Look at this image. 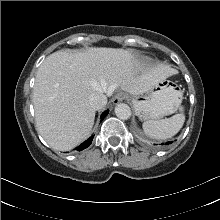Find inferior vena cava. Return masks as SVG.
Masks as SVG:
<instances>
[{
	"label": "inferior vena cava",
	"mask_w": 220,
	"mask_h": 220,
	"mask_svg": "<svg viewBox=\"0 0 220 220\" xmlns=\"http://www.w3.org/2000/svg\"><path fill=\"white\" fill-rule=\"evenodd\" d=\"M89 104L95 110L102 109L107 104V97L102 93L92 94L89 98Z\"/></svg>",
	"instance_id": "inferior-vena-cava-1"
}]
</instances>
